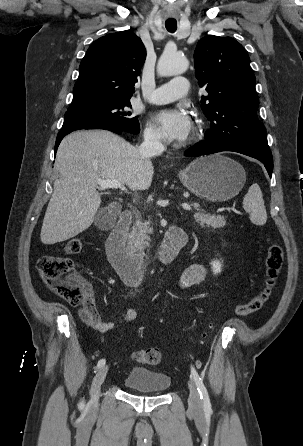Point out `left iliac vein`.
<instances>
[{
	"label": "left iliac vein",
	"instance_id": "obj_1",
	"mask_svg": "<svg viewBox=\"0 0 303 446\" xmlns=\"http://www.w3.org/2000/svg\"><path fill=\"white\" fill-rule=\"evenodd\" d=\"M188 387L190 391L188 398L189 408L195 413H200L202 411V402L200 399L199 391L192 381L188 382Z\"/></svg>",
	"mask_w": 303,
	"mask_h": 446
}]
</instances>
